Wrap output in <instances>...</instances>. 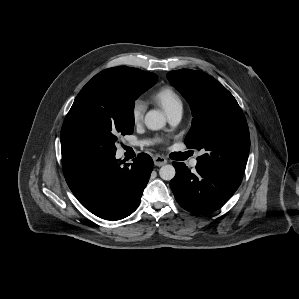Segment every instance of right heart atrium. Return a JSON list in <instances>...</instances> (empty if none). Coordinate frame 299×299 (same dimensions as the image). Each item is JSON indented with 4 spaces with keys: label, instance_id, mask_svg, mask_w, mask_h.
<instances>
[{
    "label": "right heart atrium",
    "instance_id": "d8ad5b80",
    "mask_svg": "<svg viewBox=\"0 0 299 299\" xmlns=\"http://www.w3.org/2000/svg\"><path fill=\"white\" fill-rule=\"evenodd\" d=\"M145 109V103L140 99H137L132 103L130 117L135 125H138L143 121Z\"/></svg>",
    "mask_w": 299,
    "mask_h": 299
}]
</instances>
